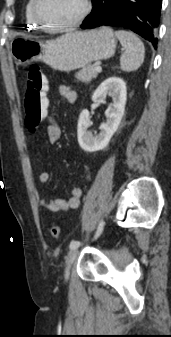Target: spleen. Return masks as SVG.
I'll return each mask as SVG.
<instances>
[{"instance_id":"spleen-1","label":"spleen","mask_w":171,"mask_h":337,"mask_svg":"<svg viewBox=\"0 0 171 337\" xmlns=\"http://www.w3.org/2000/svg\"><path fill=\"white\" fill-rule=\"evenodd\" d=\"M115 36L125 50L120 57L121 70L126 72L137 70L145 58L143 42L135 34L128 31H116Z\"/></svg>"}]
</instances>
